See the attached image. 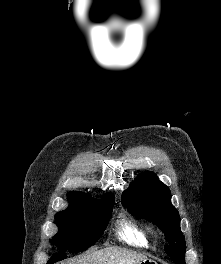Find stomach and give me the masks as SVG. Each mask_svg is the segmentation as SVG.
<instances>
[{
	"label": "stomach",
	"instance_id": "0dacf381",
	"mask_svg": "<svg viewBox=\"0 0 221 264\" xmlns=\"http://www.w3.org/2000/svg\"><path fill=\"white\" fill-rule=\"evenodd\" d=\"M138 264H158L156 261L152 260V259H145L140 261Z\"/></svg>",
	"mask_w": 221,
	"mask_h": 264
}]
</instances>
